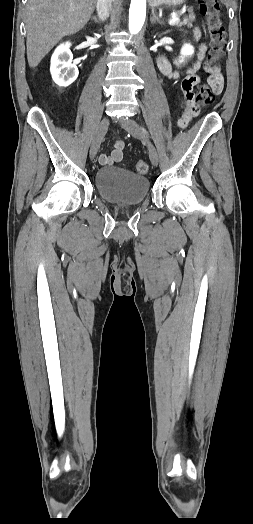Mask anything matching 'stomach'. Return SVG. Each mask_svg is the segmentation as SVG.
<instances>
[{
  "label": "stomach",
  "instance_id": "0dacf381",
  "mask_svg": "<svg viewBox=\"0 0 253 524\" xmlns=\"http://www.w3.org/2000/svg\"><path fill=\"white\" fill-rule=\"evenodd\" d=\"M185 1L186 0H153L152 6L153 7H155V6H163V5L177 6V5L182 4Z\"/></svg>",
  "mask_w": 253,
  "mask_h": 524
}]
</instances>
